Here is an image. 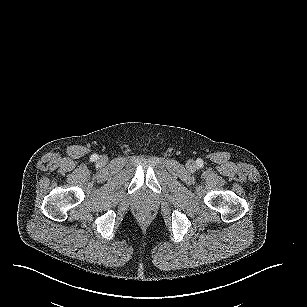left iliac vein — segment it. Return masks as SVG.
<instances>
[{"label":"left iliac vein","mask_w":307,"mask_h":307,"mask_svg":"<svg viewBox=\"0 0 307 307\" xmlns=\"http://www.w3.org/2000/svg\"><path fill=\"white\" fill-rule=\"evenodd\" d=\"M187 167L191 170L195 169V164L193 162H188Z\"/></svg>","instance_id":"1"}]
</instances>
